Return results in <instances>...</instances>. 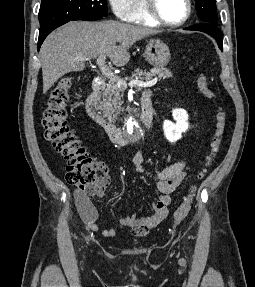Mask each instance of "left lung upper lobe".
Returning <instances> with one entry per match:
<instances>
[{"mask_svg": "<svg viewBox=\"0 0 255 287\" xmlns=\"http://www.w3.org/2000/svg\"><path fill=\"white\" fill-rule=\"evenodd\" d=\"M198 17L206 23L217 24L216 0H195Z\"/></svg>", "mask_w": 255, "mask_h": 287, "instance_id": "left-lung-upper-lobe-1", "label": "left lung upper lobe"}]
</instances>
